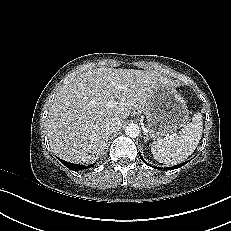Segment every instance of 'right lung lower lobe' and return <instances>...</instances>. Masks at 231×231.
<instances>
[{
  "label": "right lung lower lobe",
  "instance_id": "right-lung-lower-lobe-1",
  "mask_svg": "<svg viewBox=\"0 0 231 231\" xmlns=\"http://www.w3.org/2000/svg\"><path fill=\"white\" fill-rule=\"evenodd\" d=\"M58 160H60V162L62 164H64L67 168L71 169V170H79V169H87L88 166H84V165H78V164H73L64 160H61L58 158Z\"/></svg>",
  "mask_w": 231,
  "mask_h": 231
}]
</instances>
